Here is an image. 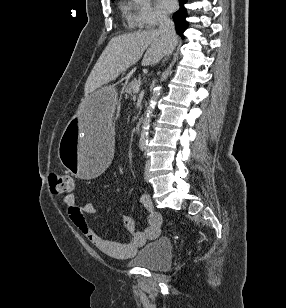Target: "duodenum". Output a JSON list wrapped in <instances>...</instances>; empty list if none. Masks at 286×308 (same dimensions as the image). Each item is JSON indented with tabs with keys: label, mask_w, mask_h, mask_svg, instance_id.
Wrapping results in <instances>:
<instances>
[{
	"label": "duodenum",
	"mask_w": 286,
	"mask_h": 308,
	"mask_svg": "<svg viewBox=\"0 0 286 308\" xmlns=\"http://www.w3.org/2000/svg\"><path fill=\"white\" fill-rule=\"evenodd\" d=\"M141 128H142V122L141 121H137L136 124H135V130L137 132H140Z\"/></svg>",
	"instance_id": "410a0bca"
}]
</instances>
